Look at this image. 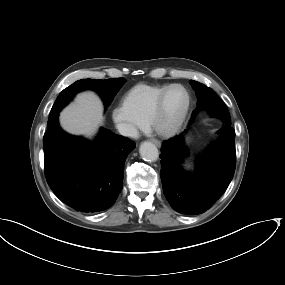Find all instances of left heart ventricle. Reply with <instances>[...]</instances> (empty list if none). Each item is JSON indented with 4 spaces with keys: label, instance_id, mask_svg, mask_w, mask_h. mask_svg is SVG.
Returning a JSON list of instances; mask_svg holds the SVG:
<instances>
[{
    "label": "left heart ventricle",
    "instance_id": "obj_1",
    "mask_svg": "<svg viewBox=\"0 0 285 285\" xmlns=\"http://www.w3.org/2000/svg\"><path fill=\"white\" fill-rule=\"evenodd\" d=\"M186 101L187 97L183 89L179 87L171 89L166 97L164 110L158 124L163 127L171 126L181 115Z\"/></svg>",
    "mask_w": 285,
    "mask_h": 285
}]
</instances>
